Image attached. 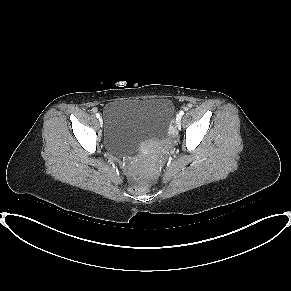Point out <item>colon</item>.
<instances>
[{
	"label": "colon",
	"mask_w": 291,
	"mask_h": 291,
	"mask_svg": "<svg viewBox=\"0 0 291 291\" xmlns=\"http://www.w3.org/2000/svg\"><path fill=\"white\" fill-rule=\"evenodd\" d=\"M130 179L132 188L135 191L145 190L148 187L147 183L137 174H131Z\"/></svg>",
	"instance_id": "colon-1"
}]
</instances>
